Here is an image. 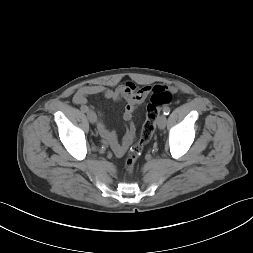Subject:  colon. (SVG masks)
Wrapping results in <instances>:
<instances>
[{
    "mask_svg": "<svg viewBox=\"0 0 253 253\" xmlns=\"http://www.w3.org/2000/svg\"><path fill=\"white\" fill-rule=\"evenodd\" d=\"M171 100V89L165 86L154 87L150 102L147 106L146 119L141 129L139 141L130 148L125 159V167L129 173L133 172L136 160L140 156L144 146L151 140L161 109L167 106Z\"/></svg>",
    "mask_w": 253,
    "mask_h": 253,
    "instance_id": "colon-1",
    "label": "colon"
}]
</instances>
